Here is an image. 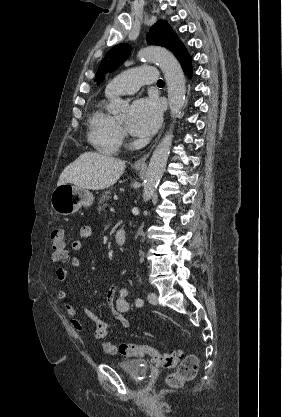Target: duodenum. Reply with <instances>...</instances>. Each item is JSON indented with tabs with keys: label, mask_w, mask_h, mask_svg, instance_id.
I'll return each mask as SVG.
<instances>
[{
	"label": "duodenum",
	"mask_w": 282,
	"mask_h": 417,
	"mask_svg": "<svg viewBox=\"0 0 282 417\" xmlns=\"http://www.w3.org/2000/svg\"><path fill=\"white\" fill-rule=\"evenodd\" d=\"M126 238H127V235H126L125 231L119 230V231L116 232V234L114 236V242L118 246H123L126 242Z\"/></svg>",
	"instance_id": "obj_1"
}]
</instances>
